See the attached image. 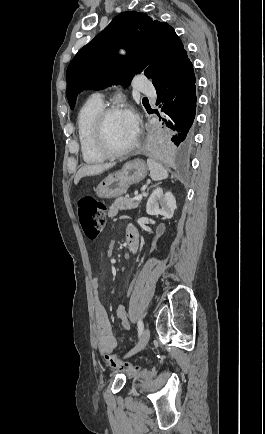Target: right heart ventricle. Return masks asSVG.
Listing matches in <instances>:
<instances>
[{"label": "right heart ventricle", "mask_w": 265, "mask_h": 434, "mask_svg": "<svg viewBox=\"0 0 265 434\" xmlns=\"http://www.w3.org/2000/svg\"><path fill=\"white\" fill-rule=\"evenodd\" d=\"M103 108L101 100L88 99L77 113V139L82 160L87 165H99L107 159L96 142V121Z\"/></svg>", "instance_id": "1"}]
</instances>
